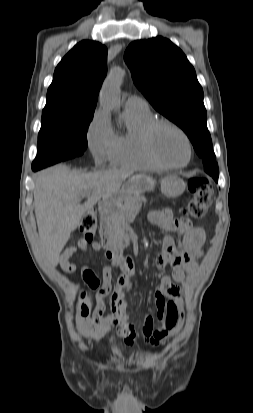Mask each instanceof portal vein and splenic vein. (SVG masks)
Instances as JSON below:
<instances>
[{"label":"portal vein and splenic vein","instance_id":"obj_1","mask_svg":"<svg viewBox=\"0 0 253 413\" xmlns=\"http://www.w3.org/2000/svg\"><path fill=\"white\" fill-rule=\"evenodd\" d=\"M89 195H90V192H88V191L82 193V197H88Z\"/></svg>","mask_w":253,"mask_h":413}]
</instances>
